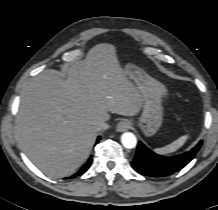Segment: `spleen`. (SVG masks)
<instances>
[{
  "label": "spleen",
  "instance_id": "3e777b00",
  "mask_svg": "<svg viewBox=\"0 0 218 210\" xmlns=\"http://www.w3.org/2000/svg\"><path fill=\"white\" fill-rule=\"evenodd\" d=\"M187 139H188L187 135L181 136L175 141H173L172 143L162 148H156L155 152L161 155H166V154L175 152L176 150H178L180 147L183 146V144L186 142Z\"/></svg>",
  "mask_w": 218,
  "mask_h": 210
}]
</instances>
